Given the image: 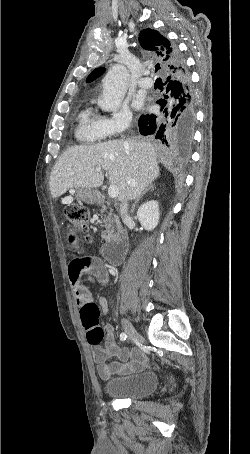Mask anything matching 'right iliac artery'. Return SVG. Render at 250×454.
Segmentation results:
<instances>
[{
	"label": "right iliac artery",
	"instance_id": "right-iliac-artery-1",
	"mask_svg": "<svg viewBox=\"0 0 250 454\" xmlns=\"http://www.w3.org/2000/svg\"><path fill=\"white\" fill-rule=\"evenodd\" d=\"M126 338H127V335H126L125 333H121V334H120V340H121V341H125Z\"/></svg>",
	"mask_w": 250,
	"mask_h": 454
}]
</instances>
